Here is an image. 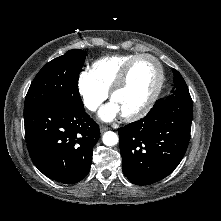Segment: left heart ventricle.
Here are the masks:
<instances>
[{
	"mask_svg": "<svg viewBox=\"0 0 221 221\" xmlns=\"http://www.w3.org/2000/svg\"><path fill=\"white\" fill-rule=\"evenodd\" d=\"M158 82V69L149 59L139 60L131 69L125 85L113 97L120 113L132 114L141 109Z\"/></svg>",
	"mask_w": 221,
	"mask_h": 221,
	"instance_id": "left-heart-ventricle-1",
	"label": "left heart ventricle"
}]
</instances>
